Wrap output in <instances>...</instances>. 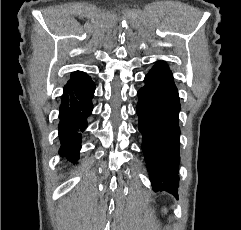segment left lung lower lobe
I'll list each match as a JSON object with an SVG mask.
<instances>
[{
    "label": "left lung lower lobe",
    "instance_id": "1",
    "mask_svg": "<svg viewBox=\"0 0 241 230\" xmlns=\"http://www.w3.org/2000/svg\"><path fill=\"white\" fill-rule=\"evenodd\" d=\"M138 91L136 112L143 135L142 150L154 191L177 196L179 183V111L177 88L168 65L158 62Z\"/></svg>",
    "mask_w": 241,
    "mask_h": 230
}]
</instances>
